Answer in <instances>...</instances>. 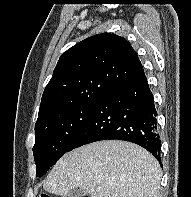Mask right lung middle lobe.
Segmentation results:
<instances>
[{
	"instance_id": "dd1d6c3e",
	"label": "right lung middle lobe",
	"mask_w": 191,
	"mask_h": 197,
	"mask_svg": "<svg viewBox=\"0 0 191 197\" xmlns=\"http://www.w3.org/2000/svg\"><path fill=\"white\" fill-rule=\"evenodd\" d=\"M97 101L57 111L35 124L34 160L42 176L63 156L93 112Z\"/></svg>"
}]
</instances>
